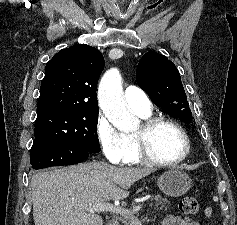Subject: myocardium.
Segmentation results:
<instances>
[{"instance_id": "f54148a6", "label": "myocardium", "mask_w": 237, "mask_h": 225, "mask_svg": "<svg viewBox=\"0 0 237 225\" xmlns=\"http://www.w3.org/2000/svg\"><path fill=\"white\" fill-rule=\"evenodd\" d=\"M161 125H168L175 128L184 139L185 151L179 158L175 160L159 159L150 150L148 142L149 135ZM133 141L139 161L157 166L177 165L183 162L189 156L191 150V141L185 129L178 122L163 117L148 118L144 120L141 124L140 133L133 135Z\"/></svg>"}]
</instances>
